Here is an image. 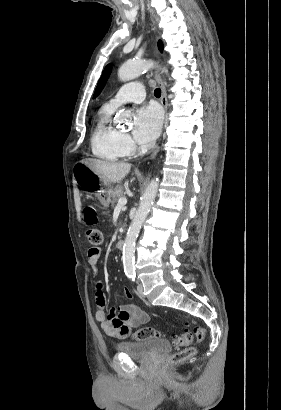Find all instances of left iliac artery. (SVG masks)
I'll return each mask as SVG.
<instances>
[{
  "label": "left iliac artery",
  "instance_id": "1",
  "mask_svg": "<svg viewBox=\"0 0 281 410\" xmlns=\"http://www.w3.org/2000/svg\"><path fill=\"white\" fill-rule=\"evenodd\" d=\"M130 276H131L132 280L134 281L135 280V274H132Z\"/></svg>",
  "mask_w": 281,
  "mask_h": 410
}]
</instances>
